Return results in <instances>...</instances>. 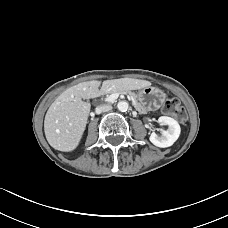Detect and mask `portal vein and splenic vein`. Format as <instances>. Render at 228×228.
<instances>
[{
	"label": "portal vein and splenic vein",
	"instance_id": "portal-vein-and-splenic-vein-1",
	"mask_svg": "<svg viewBox=\"0 0 228 228\" xmlns=\"http://www.w3.org/2000/svg\"><path fill=\"white\" fill-rule=\"evenodd\" d=\"M119 97V93H114L108 96L105 101L107 102H114Z\"/></svg>",
	"mask_w": 228,
	"mask_h": 228
}]
</instances>
